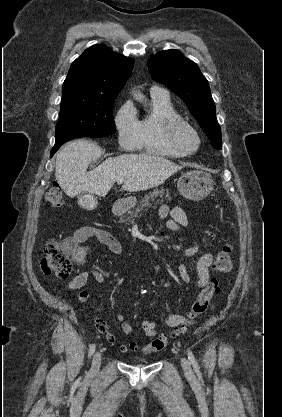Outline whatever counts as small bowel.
Listing matches in <instances>:
<instances>
[{
  "label": "small bowel",
  "mask_w": 282,
  "mask_h": 417,
  "mask_svg": "<svg viewBox=\"0 0 282 417\" xmlns=\"http://www.w3.org/2000/svg\"><path fill=\"white\" fill-rule=\"evenodd\" d=\"M158 214L161 219H166L168 216H170V218L166 221V229L169 232L177 233L182 227L188 225L187 215L181 207L176 206L170 208L167 204H164L159 208ZM69 239L76 243L85 242L89 239H96L101 244L105 245L114 255L122 256L124 254L123 245L111 233L99 227H79L74 231ZM198 250V246L193 245L182 252L173 253L172 257L174 259L193 257L197 255ZM213 259H215V257L210 253L197 255L195 259V271L197 275L196 285L198 288L205 287L210 281V267ZM177 271L182 282L190 283L192 281V276L186 264L181 263L178 266ZM90 279H93L96 283L103 285L106 281V276L100 269L92 267L79 273L72 280H70L66 285V289L69 292L80 290L78 294L79 301L81 303H87L89 300V293L86 290H83V288ZM178 318H184V315L170 314L166 317L165 324L173 329V325L177 323ZM116 319L121 324V329L124 334H133L134 327L130 322L126 320L124 313H118L116 315ZM94 324L96 329L106 337L109 343L113 344L116 342L115 335L109 330L107 323L103 319L95 317ZM193 324L194 322H190V326ZM141 328L143 335L150 339H160L161 335H165L157 333L156 322L153 320H143L141 322ZM186 328L187 327H184V330ZM169 335L171 338L175 336L173 332ZM140 348L141 345L138 341L130 340L121 343L119 346V351L123 354H126L137 352L140 350Z\"/></svg>",
  "instance_id": "obj_1"
}]
</instances>
